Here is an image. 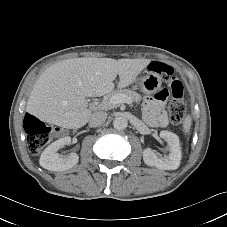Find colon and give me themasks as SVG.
Masks as SVG:
<instances>
[{"label":"colon","mask_w":227,"mask_h":227,"mask_svg":"<svg viewBox=\"0 0 227 227\" xmlns=\"http://www.w3.org/2000/svg\"><path fill=\"white\" fill-rule=\"evenodd\" d=\"M149 69L160 74L168 82L169 95L172 99L168 106L169 116L172 123L181 125L184 121L186 106L183 101V84L174 75L171 66L162 62H152ZM24 129L27 134L28 149L32 154L38 153L50 141L53 128L47 126L38 118L32 115H26L24 118Z\"/></svg>","instance_id":"colon-1"}]
</instances>
